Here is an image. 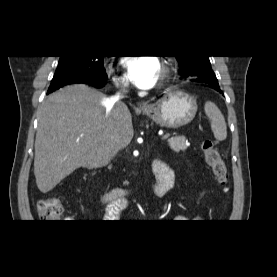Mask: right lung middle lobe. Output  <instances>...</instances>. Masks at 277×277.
<instances>
[{"instance_id":"right-lung-middle-lobe-1","label":"right lung middle lobe","mask_w":277,"mask_h":277,"mask_svg":"<svg viewBox=\"0 0 277 277\" xmlns=\"http://www.w3.org/2000/svg\"><path fill=\"white\" fill-rule=\"evenodd\" d=\"M104 56H60L48 91H54L68 83L84 80L104 84L107 75L103 66Z\"/></svg>"}]
</instances>
